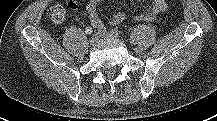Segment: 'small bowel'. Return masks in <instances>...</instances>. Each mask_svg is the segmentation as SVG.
I'll return each mask as SVG.
<instances>
[{
    "instance_id": "small-bowel-1",
    "label": "small bowel",
    "mask_w": 217,
    "mask_h": 121,
    "mask_svg": "<svg viewBox=\"0 0 217 121\" xmlns=\"http://www.w3.org/2000/svg\"><path fill=\"white\" fill-rule=\"evenodd\" d=\"M102 0H88L86 5V11L89 15L91 25L94 28L101 29L103 27V22L100 19L97 7ZM71 9L77 7V2L74 0L69 1L68 3ZM167 8L165 0H152V7L146 13H141L136 15L134 18L137 21H151L153 20L159 13L164 12ZM126 18L125 13L123 12H116L110 19V23L112 25H117L123 22Z\"/></svg>"
}]
</instances>
